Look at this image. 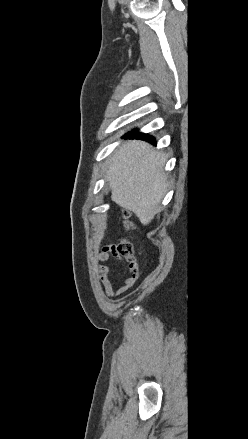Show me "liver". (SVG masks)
<instances>
[{
  "mask_svg": "<svg viewBox=\"0 0 248 439\" xmlns=\"http://www.w3.org/2000/svg\"><path fill=\"white\" fill-rule=\"evenodd\" d=\"M165 162L162 152L139 140L122 144L108 160L105 178L110 182L112 200L145 225L160 212L167 191Z\"/></svg>",
  "mask_w": 248,
  "mask_h": 439,
  "instance_id": "1",
  "label": "liver"
}]
</instances>
